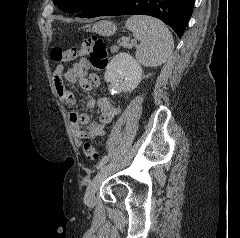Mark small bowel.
Instances as JSON below:
<instances>
[{
    "label": "small bowel",
    "mask_w": 240,
    "mask_h": 238,
    "mask_svg": "<svg viewBox=\"0 0 240 238\" xmlns=\"http://www.w3.org/2000/svg\"><path fill=\"white\" fill-rule=\"evenodd\" d=\"M89 68V61L82 58L67 70L64 69L63 65H59L54 71L53 80L57 95L69 108H74L77 103L74 95L67 90L65 81L69 84L78 82L80 88L84 91H90L93 87L100 85V78L97 74L91 73L88 76ZM85 106L87 110H92L97 106L100 110V119L98 122H92L87 113L77 111L69 113V123L77 145H80L86 137L97 138L103 136L106 126L121 112V109L107 97H100L97 100L89 98Z\"/></svg>",
    "instance_id": "small-bowel-1"
}]
</instances>
